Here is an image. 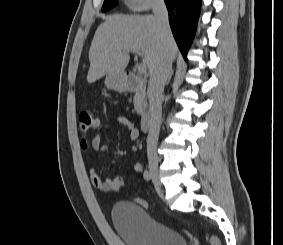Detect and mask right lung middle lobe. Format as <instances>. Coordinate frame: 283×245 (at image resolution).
<instances>
[{
    "label": "right lung middle lobe",
    "mask_w": 283,
    "mask_h": 245,
    "mask_svg": "<svg viewBox=\"0 0 283 245\" xmlns=\"http://www.w3.org/2000/svg\"><path fill=\"white\" fill-rule=\"evenodd\" d=\"M116 5V0H104L102 11L106 12Z\"/></svg>",
    "instance_id": "obj_1"
}]
</instances>
